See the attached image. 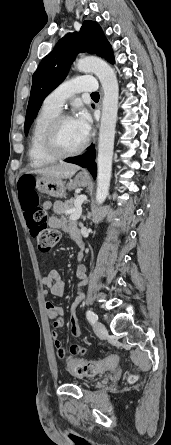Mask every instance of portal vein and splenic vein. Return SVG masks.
Returning a JSON list of instances; mask_svg holds the SVG:
<instances>
[{
  "mask_svg": "<svg viewBox=\"0 0 171 445\" xmlns=\"http://www.w3.org/2000/svg\"><path fill=\"white\" fill-rule=\"evenodd\" d=\"M84 199H85V197L77 198L75 201V208L72 210L66 211L67 213H70V217H69L70 220H77L80 218L81 213H82L81 204Z\"/></svg>",
  "mask_w": 171,
  "mask_h": 445,
  "instance_id": "portal-vein-and-splenic-vein-1",
  "label": "portal vein and splenic vein"
}]
</instances>
